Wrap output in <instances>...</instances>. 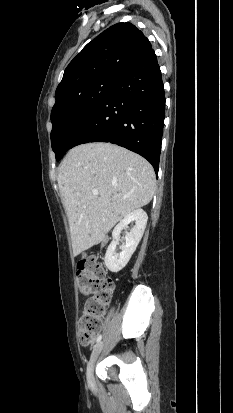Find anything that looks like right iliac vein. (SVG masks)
Wrapping results in <instances>:
<instances>
[{"instance_id": "1", "label": "right iliac vein", "mask_w": 233, "mask_h": 413, "mask_svg": "<svg viewBox=\"0 0 233 413\" xmlns=\"http://www.w3.org/2000/svg\"><path fill=\"white\" fill-rule=\"evenodd\" d=\"M102 348H103V343L102 342L98 343L93 349L90 360L88 362L86 375H87V380L90 384L94 382V367H95V363L97 361V358Z\"/></svg>"}]
</instances>
